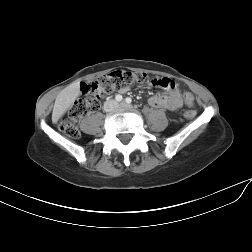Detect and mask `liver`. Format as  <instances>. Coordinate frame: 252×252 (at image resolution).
Returning <instances> with one entry per match:
<instances>
[{
  "label": "liver",
  "instance_id": "6515ba94",
  "mask_svg": "<svg viewBox=\"0 0 252 252\" xmlns=\"http://www.w3.org/2000/svg\"><path fill=\"white\" fill-rule=\"evenodd\" d=\"M79 95V82L71 83L58 94L52 113L53 123H57L58 120L73 106Z\"/></svg>",
  "mask_w": 252,
  "mask_h": 252
}]
</instances>
